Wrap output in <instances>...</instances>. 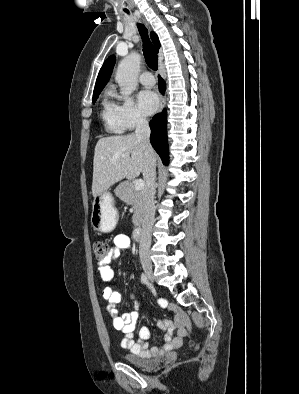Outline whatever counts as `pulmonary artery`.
<instances>
[{"mask_svg": "<svg viewBox=\"0 0 299 394\" xmlns=\"http://www.w3.org/2000/svg\"><path fill=\"white\" fill-rule=\"evenodd\" d=\"M139 80H140L141 84L145 87H152L155 84L154 76L148 71L143 72L140 75Z\"/></svg>", "mask_w": 299, "mask_h": 394, "instance_id": "pulmonary-artery-1", "label": "pulmonary artery"}]
</instances>
